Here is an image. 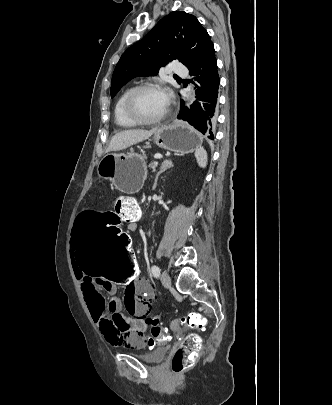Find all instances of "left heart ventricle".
Segmentation results:
<instances>
[{
	"mask_svg": "<svg viewBox=\"0 0 332 405\" xmlns=\"http://www.w3.org/2000/svg\"><path fill=\"white\" fill-rule=\"evenodd\" d=\"M168 109V104L160 90H145L138 94L134 101L136 114L144 119L161 116Z\"/></svg>",
	"mask_w": 332,
	"mask_h": 405,
	"instance_id": "obj_1",
	"label": "left heart ventricle"
}]
</instances>
